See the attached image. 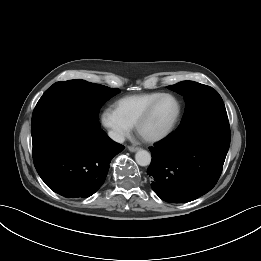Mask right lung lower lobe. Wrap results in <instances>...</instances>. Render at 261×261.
Returning <instances> with one entry per match:
<instances>
[{"instance_id":"obj_1","label":"right lung lower lobe","mask_w":261,"mask_h":261,"mask_svg":"<svg viewBox=\"0 0 261 261\" xmlns=\"http://www.w3.org/2000/svg\"><path fill=\"white\" fill-rule=\"evenodd\" d=\"M87 114L54 110L32 120L35 168L54 192L87 198L104 183L112 158L124 146L100 129Z\"/></svg>"}]
</instances>
